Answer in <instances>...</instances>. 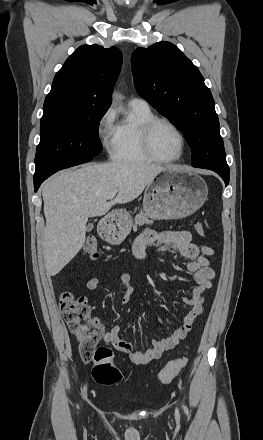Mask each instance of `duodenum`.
Instances as JSON below:
<instances>
[{
  "label": "duodenum",
  "instance_id": "410a0bca",
  "mask_svg": "<svg viewBox=\"0 0 263 440\" xmlns=\"http://www.w3.org/2000/svg\"><path fill=\"white\" fill-rule=\"evenodd\" d=\"M112 219H113L114 221H118V219H117L116 217H113Z\"/></svg>",
  "mask_w": 263,
  "mask_h": 440
}]
</instances>
